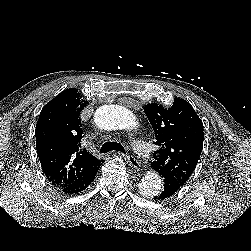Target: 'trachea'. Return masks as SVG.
<instances>
[{
  "label": "trachea",
  "instance_id": "trachea-1",
  "mask_svg": "<svg viewBox=\"0 0 251 251\" xmlns=\"http://www.w3.org/2000/svg\"><path fill=\"white\" fill-rule=\"evenodd\" d=\"M112 150L126 153L124 147L120 143L113 142V141L104 143L102 147L100 148V153H106Z\"/></svg>",
  "mask_w": 251,
  "mask_h": 251
}]
</instances>
